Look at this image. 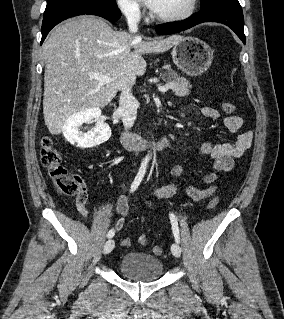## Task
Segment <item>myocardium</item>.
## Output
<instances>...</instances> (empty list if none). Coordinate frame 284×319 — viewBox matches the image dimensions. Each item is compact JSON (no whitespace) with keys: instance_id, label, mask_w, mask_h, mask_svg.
<instances>
[{"instance_id":"myocardium-1","label":"myocardium","mask_w":284,"mask_h":319,"mask_svg":"<svg viewBox=\"0 0 284 319\" xmlns=\"http://www.w3.org/2000/svg\"><path fill=\"white\" fill-rule=\"evenodd\" d=\"M198 6V0H190L189 5L185 11L176 15L162 16L156 14L154 11L151 13V16L154 20L162 23H173L180 22L190 18L196 11Z\"/></svg>"}]
</instances>
